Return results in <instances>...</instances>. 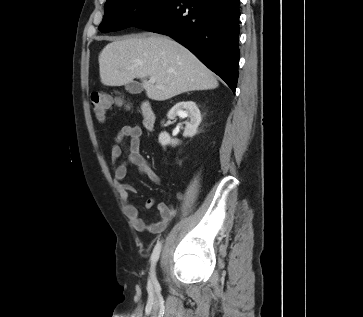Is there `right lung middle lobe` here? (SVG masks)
Returning <instances> with one entry per match:
<instances>
[{
    "label": "right lung middle lobe",
    "mask_w": 363,
    "mask_h": 317,
    "mask_svg": "<svg viewBox=\"0 0 363 317\" xmlns=\"http://www.w3.org/2000/svg\"><path fill=\"white\" fill-rule=\"evenodd\" d=\"M176 0H107L99 26L103 33L136 26L171 7Z\"/></svg>",
    "instance_id": "1"
}]
</instances>
